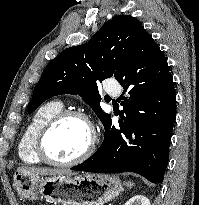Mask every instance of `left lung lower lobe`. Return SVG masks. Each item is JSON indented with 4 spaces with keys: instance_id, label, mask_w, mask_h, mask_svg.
Instances as JSON below:
<instances>
[{
    "instance_id": "left-lung-lower-lobe-1",
    "label": "left lung lower lobe",
    "mask_w": 199,
    "mask_h": 205,
    "mask_svg": "<svg viewBox=\"0 0 199 205\" xmlns=\"http://www.w3.org/2000/svg\"><path fill=\"white\" fill-rule=\"evenodd\" d=\"M118 82L122 98L119 126L106 124L97 152L72 170L134 172L152 183L163 181L176 119V94L167 60L145 30L125 61Z\"/></svg>"
}]
</instances>
